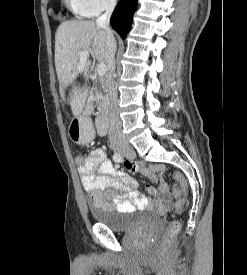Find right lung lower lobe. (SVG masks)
Here are the masks:
<instances>
[{
	"label": "right lung lower lobe",
	"instance_id": "98d812e1",
	"mask_svg": "<svg viewBox=\"0 0 247 275\" xmlns=\"http://www.w3.org/2000/svg\"><path fill=\"white\" fill-rule=\"evenodd\" d=\"M137 1L138 0H121L111 16V26L121 35L122 39H125L131 28Z\"/></svg>",
	"mask_w": 247,
	"mask_h": 275
}]
</instances>
